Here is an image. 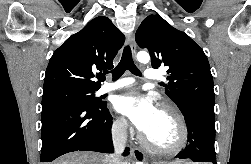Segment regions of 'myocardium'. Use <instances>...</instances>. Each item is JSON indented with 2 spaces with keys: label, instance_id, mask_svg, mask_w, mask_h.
Here are the masks:
<instances>
[{
  "label": "myocardium",
  "instance_id": "f54148a6",
  "mask_svg": "<svg viewBox=\"0 0 251 164\" xmlns=\"http://www.w3.org/2000/svg\"><path fill=\"white\" fill-rule=\"evenodd\" d=\"M159 111L168 115L174 122L177 130V137L173 144L169 146H157L151 143L149 137L144 134L141 138L143 146L155 154L172 155L180 152L188 141V127L183 115L171 104L162 103Z\"/></svg>",
  "mask_w": 251,
  "mask_h": 164
}]
</instances>
